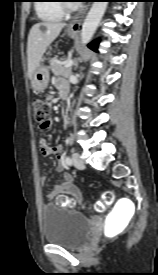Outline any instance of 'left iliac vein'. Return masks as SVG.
I'll return each mask as SVG.
<instances>
[{
  "mask_svg": "<svg viewBox=\"0 0 158 275\" xmlns=\"http://www.w3.org/2000/svg\"><path fill=\"white\" fill-rule=\"evenodd\" d=\"M72 160H73V165L77 169H84L85 168L84 161L80 158V155L78 153H73Z\"/></svg>",
  "mask_w": 158,
  "mask_h": 275,
  "instance_id": "obj_1",
  "label": "left iliac vein"
}]
</instances>
